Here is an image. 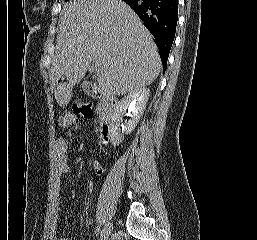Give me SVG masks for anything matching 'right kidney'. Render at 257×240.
<instances>
[{
  "label": "right kidney",
  "instance_id": "1",
  "mask_svg": "<svg viewBox=\"0 0 257 240\" xmlns=\"http://www.w3.org/2000/svg\"><path fill=\"white\" fill-rule=\"evenodd\" d=\"M150 96V90L147 88H138L129 92L114 108L112 115V124L109 131V139L112 145H119L124 139V134H130L137 126L140 118L143 116L144 110L148 98ZM129 110V119L126 121L122 128L118 122L121 119L123 113Z\"/></svg>",
  "mask_w": 257,
  "mask_h": 240
}]
</instances>
